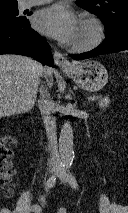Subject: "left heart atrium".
<instances>
[{
    "label": "left heart atrium",
    "instance_id": "39dd6f15",
    "mask_svg": "<svg viewBox=\"0 0 128 213\" xmlns=\"http://www.w3.org/2000/svg\"><path fill=\"white\" fill-rule=\"evenodd\" d=\"M33 25L40 33L71 44L75 40L79 21L68 6L54 4L38 11L34 16Z\"/></svg>",
    "mask_w": 128,
    "mask_h": 213
}]
</instances>
